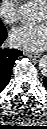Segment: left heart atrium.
Wrapping results in <instances>:
<instances>
[{
  "instance_id": "left-heart-atrium-1",
  "label": "left heart atrium",
  "mask_w": 47,
  "mask_h": 129,
  "mask_svg": "<svg viewBox=\"0 0 47 129\" xmlns=\"http://www.w3.org/2000/svg\"><path fill=\"white\" fill-rule=\"evenodd\" d=\"M14 46L39 51L46 45L47 27L44 23H25L14 28L10 35Z\"/></svg>"
}]
</instances>
